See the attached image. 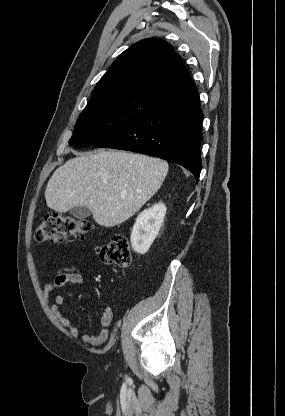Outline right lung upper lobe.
<instances>
[{
  "mask_svg": "<svg viewBox=\"0 0 285 416\" xmlns=\"http://www.w3.org/2000/svg\"><path fill=\"white\" fill-rule=\"evenodd\" d=\"M196 95L197 88L172 46L163 40L144 39L114 61L86 107L128 96L164 107Z\"/></svg>",
  "mask_w": 285,
  "mask_h": 416,
  "instance_id": "1",
  "label": "right lung upper lobe"
}]
</instances>
